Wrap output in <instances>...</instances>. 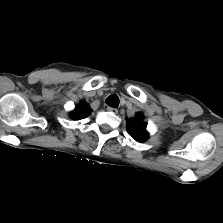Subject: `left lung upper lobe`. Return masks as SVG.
Wrapping results in <instances>:
<instances>
[{"mask_svg": "<svg viewBox=\"0 0 223 223\" xmlns=\"http://www.w3.org/2000/svg\"><path fill=\"white\" fill-rule=\"evenodd\" d=\"M143 115L137 114V118H131L127 121V132L138 142H143L148 138L146 131L147 124L142 121Z\"/></svg>", "mask_w": 223, "mask_h": 223, "instance_id": "left-lung-upper-lobe-1", "label": "left lung upper lobe"}]
</instances>
